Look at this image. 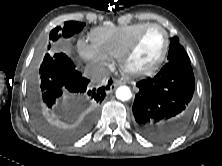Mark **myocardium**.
Listing matches in <instances>:
<instances>
[{
  "label": "myocardium",
  "instance_id": "1",
  "mask_svg": "<svg viewBox=\"0 0 222 166\" xmlns=\"http://www.w3.org/2000/svg\"><path fill=\"white\" fill-rule=\"evenodd\" d=\"M151 28H158L162 30V32L164 33L165 39H164V46H163L162 52L159 58L157 59V61L152 66L146 69H141V70L131 69L128 66V59L131 56V54L134 52V50L136 49L143 35ZM169 46H170V36H169L168 31L165 29V27H163L161 24H158V23H148L133 37V39L129 42V44L123 50V52L119 56V65L122 71L130 76L140 77V76H147V75L153 74L161 67V65L165 61L168 51H169Z\"/></svg>",
  "mask_w": 222,
  "mask_h": 166
}]
</instances>
